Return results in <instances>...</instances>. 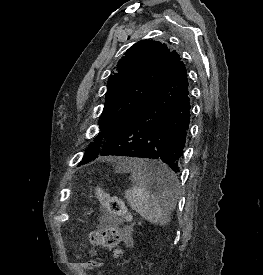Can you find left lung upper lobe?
I'll list each match as a JSON object with an SVG mask.
<instances>
[{
	"label": "left lung upper lobe",
	"mask_w": 263,
	"mask_h": 275,
	"mask_svg": "<svg viewBox=\"0 0 263 275\" xmlns=\"http://www.w3.org/2000/svg\"><path fill=\"white\" fill-rule=\"evenodd\" d=\"M176 52L153 40L135 43L119 60L109 77L100 132L90 143L82 161L97 157L107 138L116 134L162 80Z\"/></svg>",
	"instance_id": "left-lung-upper-lobe-1"
}]
</instances>
